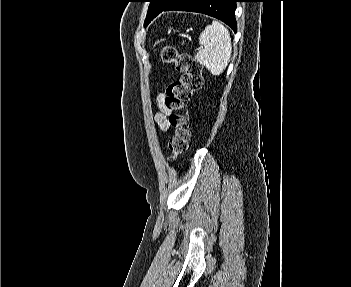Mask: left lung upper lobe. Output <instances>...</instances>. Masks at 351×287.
<instances>
[{
	"label": "left lung upper lobe",
	"mask_w": 351,
	"mask_h": 287,
	"mask_svg": "<svg viewBox=\"0 0 351 287\" xmlns=\"http://www.w3.org/2000/svg\"><path fill=\"white\" fill-rule=\"evenodd\" d=\"M150 2L145 26L148 25L155 16L167 7L173 0H148Z\"/></svg>",
	"instance_id": "5c2ea615"
}]
</instances>
